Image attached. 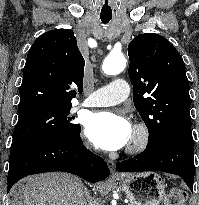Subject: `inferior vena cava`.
I'll list each match as a JSON object with an SVG mask.
<instances>
[{"instance_id":"obj_1","label":"inferior vena cava","mask_w":199,"mask_h":205,"mask_svg":"<svg viewBox=\"0 0 199 205\" xmlns=\"http://www.w3.org/2000/svg\"><path fill=\"white\" fill-rule=\"evenodd\" d=\"M88 197V200H89V205H99V203L96 201V200H93L89 195L88 193L86 192L85 193Z\"/></svg>"}]
</instances>
